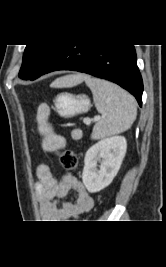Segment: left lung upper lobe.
Returning a JSON list of instances; mask_svg holds the SVG:
<instances>
[{
  "instance_id": "left-lung-upper-lobe-1",
  "label": "left lung upper lobe",
  "mask_w": 166,
  "mask_h": 267,
  "mask_svg": "<svg viewBox=\"0 0 166 267\" xmlns=\"http://www.w3.org/2000/svg\"><path fill=\"white\" fill-rule=\"evenodd\" d=\"M62 45H27L19 72L21 79L38 78Z\"/></svg>"
}]
</instances>
